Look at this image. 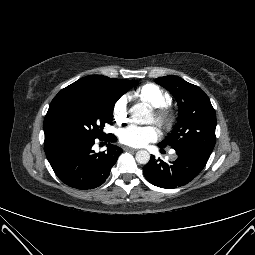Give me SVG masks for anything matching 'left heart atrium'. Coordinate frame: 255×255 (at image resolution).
Here are the masks:
<instances>
[{
    "label": "left heart atrium",
    "instance_id": "39dd6f15",
    "mask_svg": "<svg viewBox=\"0 0 255 255\" xmlns=\"http://www.w3.org/2000/svg\"><path fill=\"white\" fill-rule=\"evenodd\" d=\"M160 131L153 125H129L119 131L121 143L131 147H143L158 139Z\"/></svg>",
    "mask_w": 255,
    "mask_h": 255
}]
</instances>
